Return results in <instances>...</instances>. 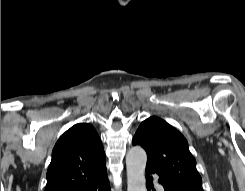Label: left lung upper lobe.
I'll return each instance as SVG.
<instances>
[{"mask_svg": "<svg viewBox=\"0 0 245 191\" xmlns=\"http://www.w3.org/2000/svg\"><path fill=\"white\" fill-rule=\"evenodd\" d=\"M132 143L145 149L147 170L188 191H203L186 138L165 120L156 116L144 120Z\"/></svg>", "mask_w": 245, "mask_h": 191, "instance_id": "left-lung-upper-lobe-1", "label": "left lung upper lobe"}]
</instances>
